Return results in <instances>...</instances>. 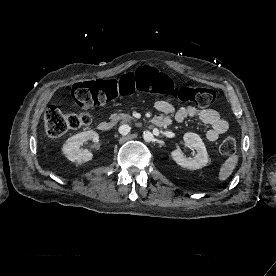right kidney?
I'll use <instances>...</instances> for the list:
<instances>
[{
  "mask_svg": "<svg viewBox=\"0 0 276 276\" xmlns=\"http://www.w3.org/2000/svg\"><path fill=\"white\" fill-rule=\"evenodd\" d=\"M99 139L98 133L93 130L80 132L69 139L63 144L62 152L65 157L71 162H77L79 164L92 160L93 154L88 151L81 149L85 141L92 140L97 142Z\"/></svg>",
  "mask_w": 276,
  "mask_h": 276,
  "instance_id": "1",
  "label": "right kidney"
}]
</instances>
